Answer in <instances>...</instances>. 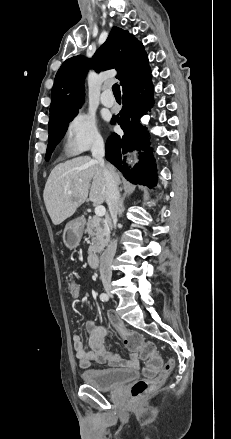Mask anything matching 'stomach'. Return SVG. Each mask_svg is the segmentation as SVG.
I'll list each match as a JSON object with an SVG mask.
<instances>
[{
	"label": "stomach",
	"mask_w": 231,
	"mask_h": 439,
	"mask_svg": "<svg viewBox=\"0 0 231 439\" xmlns=\"http://www.w3.org/2000/svg\"><path fill=\"white\" fill-rule=\"evenodd\" d=\"M82 234H83V226L80 220L78 219L72 220L68 222L65 226L62 236L63 242L68 248L73 249L78 246Z\"/></svg>",
	"instance_id": "0dacf381"
}]
</instances>
